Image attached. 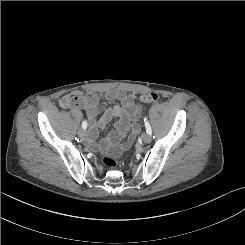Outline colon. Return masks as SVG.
I'll return each mask as SVG.
<instances>
[{
	"instance_id": "5ec220e1",
	"label": "colon",
	"mask_w": 245,
	"mask_h": 245,
	"mask_svg": "<svg viewBox=\"0 0 245 245\" xmlns=\"http://www.w3.org/2000/svg\"><path fill=\"white\" fill-rule=\"evenodd\" d=\"M160 99V96L157 93L151 92L147 94L141 95L138 100L143 103H155ZM83 101V97L80 94L74 93L69 95L66 99L65 102L67 105H79ZM103 164L107 167H115L116 166V161L111 158V157H104L102 160Z\"/></svg>"
}]
</instances>
